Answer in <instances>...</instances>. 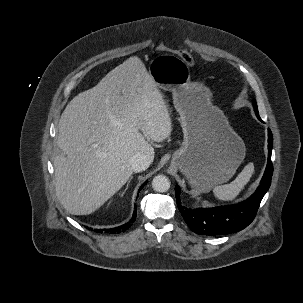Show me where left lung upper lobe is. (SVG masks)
Segmentation results:
<instances>
[{
    "label": "left lung upper lobe",
    "instance_id": "obj_1",
    "mask_svg": "<svg viewBox=\"0 0 303 303\" xmlns=\"http://www.w3.org/2000/svg\"><path fill=\"white\" fill-rule=\"evenodd\" d=\"M253 106H254L255 113H258L256 102H253Z\"/></svg>",
    "mask_w": 303,
    "mask_h": 303
}]
</instances>
